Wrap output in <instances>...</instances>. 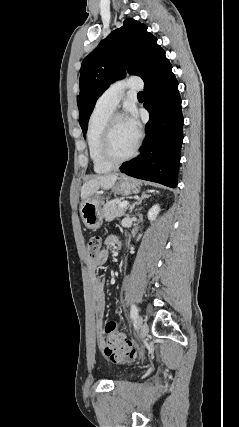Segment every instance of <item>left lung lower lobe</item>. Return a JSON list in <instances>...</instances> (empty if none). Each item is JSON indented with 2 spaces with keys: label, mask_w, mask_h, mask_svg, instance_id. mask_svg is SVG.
I'll return each instance as SVG.
<instances>
[{
  "label": "left lung lower lobe",
  "mask_w": 239,
  "mask_h": 427,
  "mask_svg": "<svg viewBox=\"0 0 239 427\" xmlns=\"http://www.w3.org/2000/svg\"><path fill=\"white\" fill-rule=\"evenodd\" d=\"M144 107L150 114L140 155L122 164L121 172L165 186L177 187L183 140V116L178 82L167 61L144 82Z\"/></svg>",
  "instance_id": "obj_1"
}]
</instances>
